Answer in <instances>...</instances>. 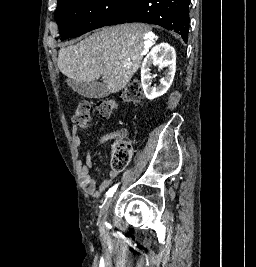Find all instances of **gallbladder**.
<instances>
[{
    "mask_svg": "<svg viewBox=\"0 0 256 267\" xmlns=\"http://www.w3.org/2000/svg\"><path fill=\"white\" fill-rule=\"evenodd\" d=\"M66 84L83 98H106L110 94L106 86L100 82H77L73 78H67Z\"/></svg>",
    "mask_w": 256,
    "mask_h": 267,
    "instance_id": "obj_1",
    "label": "gallbladder"
}]
</instances>
